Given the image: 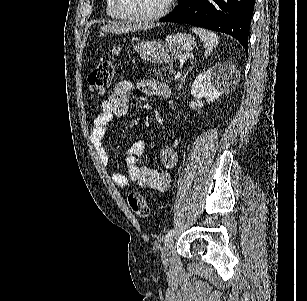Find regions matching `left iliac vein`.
Here are the masks:
<instances>
[{
	"label": "left iliac vein",
	"mask_w": 307,
	"mask_h": 301,
	"mask_svg": "<svg viewBox=\"0 0 307 301\" xmlns=\"http://www.w3.org/2000/svg\"><path fill=\"white\" fill-rule=\"evenodd\" d=\"M173 240L169 239L165 242L163 248H162V252H161V261L164 265H167L169 263V257L171 254V249L173 247Z\"/></svg>",
	"instance_id": "1"
}]
</instances>
